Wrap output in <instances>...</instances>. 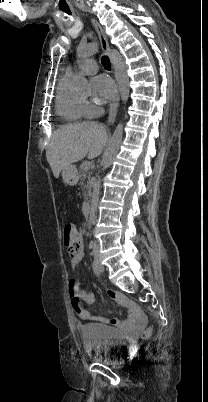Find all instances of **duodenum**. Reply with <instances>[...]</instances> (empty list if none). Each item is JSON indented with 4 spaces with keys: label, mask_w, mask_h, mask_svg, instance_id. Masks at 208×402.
Segmentation results:
<instances>
[{
    "label": "duodenum",
    "mask_w": 208,
    "mask_h": 402,
    "mask_svg": "<svg viewBox=\"0 0 208 402\" xmlns=\"http://www.w3.org/2000/svg\"><path fill=\"white\" fill-rule=\"evenodd\" d=\"M82 209L85 215H88L90 212V202L88 200L83 202Z\"/></svg>",
    "instance_id": "obj_1"
}]
</instances>
